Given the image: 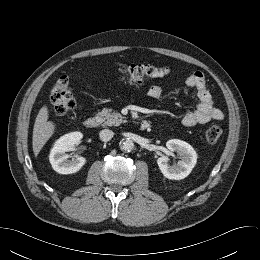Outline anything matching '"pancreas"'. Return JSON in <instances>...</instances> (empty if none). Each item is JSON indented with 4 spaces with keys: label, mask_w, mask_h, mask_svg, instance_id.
<instances>
[{
    "label": "pancreas",
    "mask_w": 260,
    "mask_h": 260,
    "mask_svg": "<svg viewBox=\"0 0 260 260\" xmlns=\"http://www.w3.org/2000/svg\"><path fill=\"white\" fill-rule=\"evenodd\" d=\"M97 118L103 123V126H118L125 122V117L118 112H112V109L109 108H104L98 112Z\"/></svg>",
    "instance_id": "obj_1"
}]
</instances>
